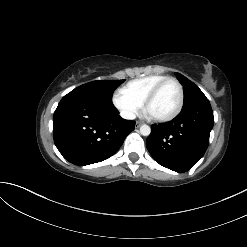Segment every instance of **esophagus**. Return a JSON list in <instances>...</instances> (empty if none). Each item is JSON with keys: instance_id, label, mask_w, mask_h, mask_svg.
Returning <instances> with one entry per match:
<instances>
[{"instance_id": "34e87169", "label": "esophagus", "mask_w": 247, "mask_h": 247, "mask_svg": "<svg viewBox=\"0 0 247 247\" xmlns=\"http://www.w3.org/2000/svg\"><path fill=\"white\" fill-rule=\"evenodd\" d=\"M142 125V122H136V127L138 128V127H140Z\"/></svg>"}]
</instances>
